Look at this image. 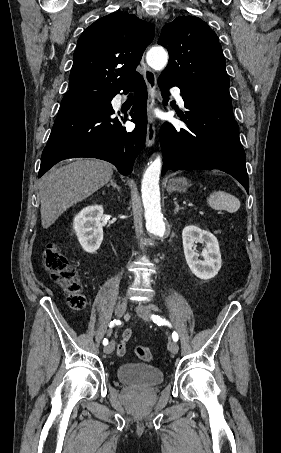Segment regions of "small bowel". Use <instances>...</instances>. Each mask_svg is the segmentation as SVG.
<instances>
[{"instance_id": "1", "label": "small bowel", "mask_w": 281, "mask_h": 453, "mask_svg": "<svg viewBox=\"0 0 281 453\" xmlns=\"http://www.w3.org/2000/svg\"><path fill=\"white\" fill-rule=\"evenodd\" d=\"M132 332L131 330L127 329L124 331L120 343L117 345V352H119V355H124V352L126 350V341L130 338Z\"/></svg>"}]
</instances>
